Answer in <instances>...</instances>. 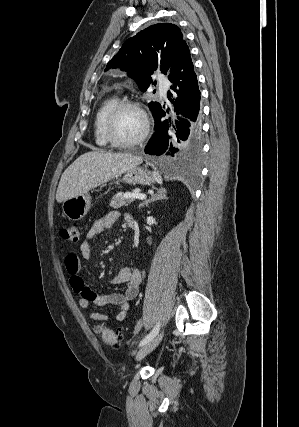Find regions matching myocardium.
<instances>
[{"label":"myocardium","instance_id":"myocardium-1","mask_svg":"<svg viewBox=\"0 0 299 427\" xmlns=\"http://www.w3.org/2000/svg\"><path fill=\"white\" fill-rule=\"evenodd\" d=\"M126 108H131V109L136 110L142 116L143 122H144V127H143L141 134L137 138L130 140V141H124V140L119 139L114 132L115 118L121 110L126 109ZM103 132H104L106 140L113 147L131 148V147H134V146L141 144L142 142H144L146 140V138L148 137L149 132H150V120H149L147 113L145 112V110L142 108V106L138 102H135L132 100H121V101H118L110 109V111L107 113L105 120H104Z\"/></svg>","mask_w":299,"mask_h":427}]
</instances>
